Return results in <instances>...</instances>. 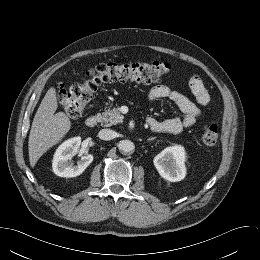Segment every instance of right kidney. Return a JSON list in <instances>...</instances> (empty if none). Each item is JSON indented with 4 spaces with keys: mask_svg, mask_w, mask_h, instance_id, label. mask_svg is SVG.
Listing matches in <instances>:
<instances>
[{
    "mask_svg": "<svg viewBox=\"0 0 260 260\" xmlns=\"http://www.w3.org/2000/svg\"><path fill=\"white\" fill-rule=\"evenodd\" d=\"M80 144L81 138L74 137L66 140L57 148L52 163L53 171L57 176L66 178L79 176L92 163L93 155L91 154L82 156L77 165L70 161L77 153Z\"/></svg>",
    "mask_w": 260,
    "mask_h": 260,
    "instance_id": "obj_1",
    "label": "right kidney"
}]
</instances>
